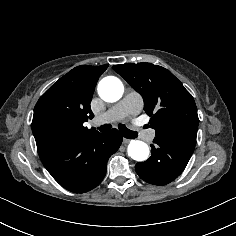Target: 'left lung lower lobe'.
<instances>
[{"label": "left lung lower lobe", "instance_id": "obj_1", "mask_svg": "<svg viewBox=\"0 0 236 236\" xmlns=\"http://www.w3.org/2000/svg\"><path fill=\"white\" fill-rule=\"evenodd\" d=\"M151 157L135 166L139 177L147 183L166 185L175 180L185 169L193 150L172 142L154 139Z\"/></svg>", "mask_w": 236, "mask_h": 236}]
</instances>
